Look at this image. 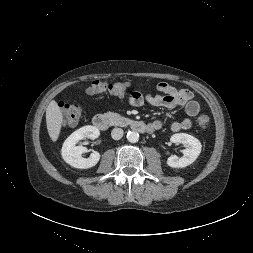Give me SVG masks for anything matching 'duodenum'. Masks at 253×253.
Wrapping results in <instances>:
<instances>
[{"label":"duodenum","mask_w":253,"mask_h":253,"mask_svg":"<svg viewBox=\"0 0 253 253\" xmlns=\"http://www.w3.org/2000/svg\"><path fill=\"white\" fill-rule=\"evenodd\" d=\"M93 125L100 129V130H106L110 127V120L109 118L104 114H97L93 117ZM132 130L140 133L149 132L151 130L150 125L141 122V121H133L130 124Z\"/></svg>","instance_id":"410a0bca"}]
</instances>
